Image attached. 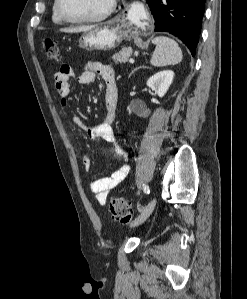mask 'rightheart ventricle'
I'll use <instances>...</instances> for the list:
<instances>
[{"instance_id":"e07e8e85","label":"right heart ventricle","mask_w":247,"mask_h":299,"mask_svg":"<svg viewBox=\"0 0 247 299\" xmlns=\"http://www.w3.org/2000/svg\"><path fill=\"white\" fill-rule=\"evenodd\" d=\"M52 21L55 24H63L64 21L60 18V16L58 15L57 11H56V1H54L53 5H52Z\"/></svg>"}]
</instances>
